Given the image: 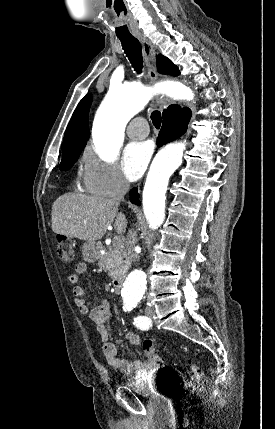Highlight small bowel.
Masks as SVG:
<instances>
[{
	"instance_id": "c3829d8e",
	"label": "small bowel",
	"mask_w": 275,
	"mask_h": 429,
	"mask_svg": "<svg viewBox=\"0 0 275 429\" xmlns=\"http://www.w3.org/2000/svg\"><path fill=\"white\" fill-rule=\"evenodd\" d=\"M87 270V264L84 262H80L75 266V274H71L68 276V280L70 283L74 285L73 287V297L74 304L77 306L79 312L81 314H89L91 321L95 324L101 339L103 341V353L108 364L115 370L127 375H135L141 376L147 372L156 370V363L148 360V361H140V360H127L121 358L119 356L121 347L118 343L109 340V332L106 328V324L109 322L111 318V311L109 308V304L106 300H102V302L93 308L89 309L83 288L78 285V276L77 274L84 273ZM127 340L133 345H142L149 341V339H141L138 335L133 333L126 334ZM151 341V340H150Z\"/></svg>"
}]
</instances>
